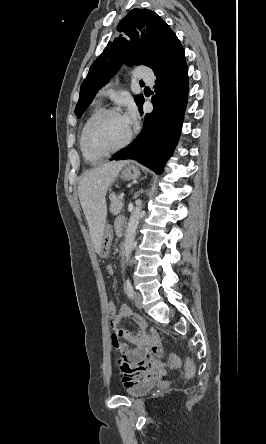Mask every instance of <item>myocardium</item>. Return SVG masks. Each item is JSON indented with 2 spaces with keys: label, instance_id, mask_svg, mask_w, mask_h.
<instances>
[{
  "label": "myocardium",
  "instance_id": "obj_1",
  "mask_svg": "<svg viewBox=\"0 0 266 444\" xmlns=\"http://www.w3.org/2000/svg\"><path fill=\"white\" fill-rule=\"evenodd\" d=\"M111 114L122 115L121 112L118 111L117 109H113V108L101 109L97 113H95L90 118L88 123L86 124V126L83 130V133H82V145H83V148L85 149V151H87L88 153H90L92 155H98V156H107V155L113 154L115 152H118V151L124 149L132 141L134 132L132 129H130L129 134L127 135L125 140L119 146H117L115 148L104 150V151H96L88 144L87 138H88V134H89V131L92 128V126L102 117H104L106 115H111Z\"/></svg>",
  "mask_w": 266,
  "mask_h": 444
}]
</instances>
